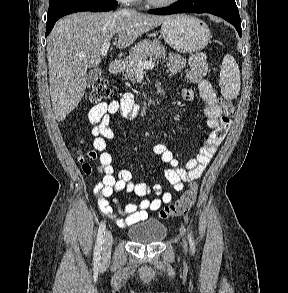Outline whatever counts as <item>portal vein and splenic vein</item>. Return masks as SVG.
Wrapping results in <instances>:
<instances>
[{
  "mask_svg": "<svg viewBox=\"0 0 288 293\" xmlns=\"http://www.w3.org/2000/svg\"><path fill=\"white\" fill-rule=\"evenodd\" d=\"M109 47H110V42H106L104 43L102 46H101V54L103 56H106L107 55V52L109 50ZM155 64L152 62V61H139V67L140 69H152L154 68Z\"/></svg>",
  "mask_w": 288,
  "mask_h": 293,
  "instance_id": "obj_1",
  "label": "portal vein and splenic vein"
}]
</instances>
